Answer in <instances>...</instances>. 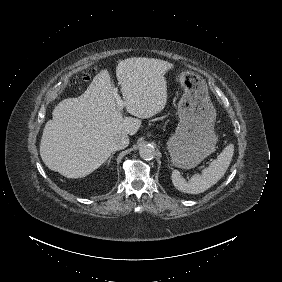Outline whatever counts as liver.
I'll use <instances>...</instances> for the list:
<instances>
[{"instance_id": "1", "label": "liver", "mask_w": 282, "mask_h": 282, "mask_svg": "<svg viewBox=\"0 0 282 282\" xmlns=\"http://www.w3.org/2000/svg\"><path fill=\"white\" fill-rule=\"evenodd\" d=\"M170 67L164 60L131 57L120 61L116 77L125 109L148 118L166 103L163 72ZM123 118L116 110L110 78L103 70L79 97L61 101L43 130L40 154L49 169L71 178L83 177L99 167L111 154L112 138L133 135L141 120Z\"/></svg>"}]
</instances>
